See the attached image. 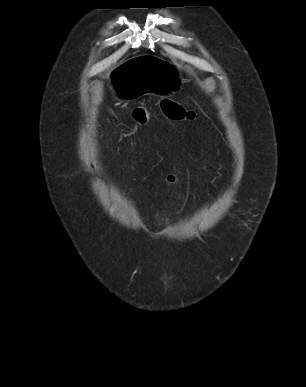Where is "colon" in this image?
<instances>
[{
	"instance_id": "1",
	"label": "colon",
	"mask_w": 306,
	"mask_h": 387,
	"mask_svg": "<svg viewBox=\"0 0 306 387\" xmlns=\"http://www.w3.org/2000/svg\"><path fill=\"white\" fill-rule=\"evenodd\" d=\"M163 114L171 120L191 121L196 118V113L171 100L161 101ZM132 117L137 125L144 126L149 119V111L144 106L136 107L132 111Z\"/></svg>"
}]
</instances>
